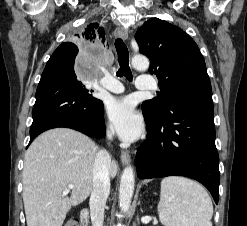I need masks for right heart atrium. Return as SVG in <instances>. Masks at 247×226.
Wrapping results in <instances>:
<instances>
[{"mask_svg": "<svg viewBox=\"0 0 247 226\" xmlns=\"http://www.w3.org/2000/svg\"><path fill=\"white\" fill-rule=\"evenodd\" d=\"M105 131H106V134L108 136H112L113 135V129H112V126L110 124H107L106 127H105Z\"/></svg>", "mask_w": 247, "mask_h": 226, "instance_id": "d8ad5b80", "label": "right heart atrium"}]
</instances>
